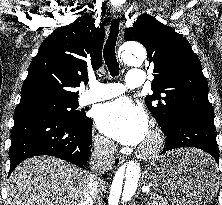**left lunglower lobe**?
Wrapping results in <instances>:
<instances>
[{
	"label": "left lung lower lobe",
	"instance_id": "left-lung-lower-lobe-1",
	"mask_svg": "<svg viewBox=\"0 0 222 205\" xmlns=\"http://www.w3.org/2000/svg\"><path fill=\"white\" fill-rule=\"evenodd\" d=\"M163 132L167 136L163 152L180 147H195L209 153L214 162L219 164L214 115L187 112L176 119V124L170 130Z\"/></svg>",
	"mask_w": 222,
	"mask_h": 205
}]
</instances>
